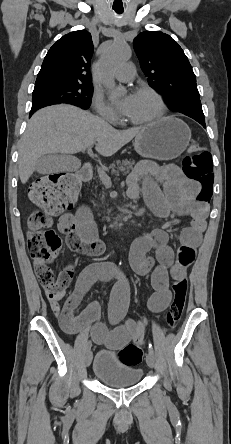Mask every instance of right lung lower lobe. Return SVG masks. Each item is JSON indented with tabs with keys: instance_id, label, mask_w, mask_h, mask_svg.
<instances>
[{
	"instance_id": "1",
	"label": "right lung lower lobe",
	"mask_w": 231,
	"mask_h": 444,
	"mask_svg": "<svg viewBox=\"0 0 231 444\" xmlns=\"http://www.w3.org/2000/svg\"><path fill=\"white\" fill-rule=\"evenodd\" d=\"M36 110H31V112H30V117H31V115L35 112Z\"/></svg>"
}]
</instances>
